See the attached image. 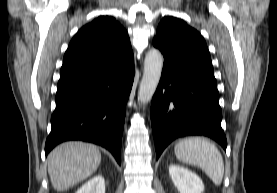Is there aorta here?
Instances as JSON below:
<instances>
[{
    "label": "aorta",
    "mask_w": 277,
    "mask_h": 193,
    "mask_svg": "<svg viewBox=\"0 0 277 193\" xmlns=\"http://www.w3.org/2000/svg\"><path fill=\"white\" fill-rule=\"evenodd\" d=\"M163 56L157 49H150L144 60V72L138 91V102L147 104L153 97L160 81Z\"/></svg>",
    "instance_id": "762f6f07"
}]
</instances>
